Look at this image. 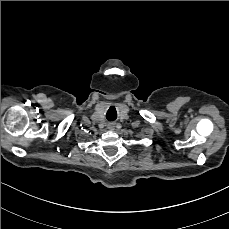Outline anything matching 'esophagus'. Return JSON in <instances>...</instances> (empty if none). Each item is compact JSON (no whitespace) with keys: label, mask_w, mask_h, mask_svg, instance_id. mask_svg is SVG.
<instances>
[{"label":"esophagus","mask_w":229,"mask_h":229,"mask_svg":"<svg viewBox=\"0 0 229 229\" xmlns=\"http://www.w3.org/2000/svg\"><path fill=\"white\" fill-rule=\"evenodd\" d=\"M108 128H109L110 130H113V129H114V124H112V123L108 124Z\"/></svg>","instance_id":"34e87169"}]
</instances>
